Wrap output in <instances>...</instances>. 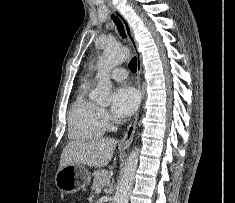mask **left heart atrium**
<instances>
[{"mask_svg":"<svg viewBox=\"0 0 235 203\" xmlns=\"http://www.w3.org/2000/svg\"><path fill=\"white\" fill-rule=\"evenodd\" d=\"M138 104L139 94L133 87L122 85L112 93L111 109L118 118L130 116Z\"/></svg>","mask_w":235,"mask_h":203,"instance_id":"1","label":"left heart atrium"}]
</instances>
